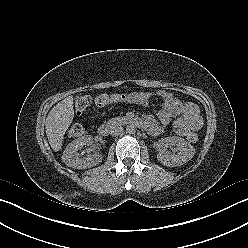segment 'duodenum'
Here are the masks:
<instances>
[{
    "instance_id": "duodenum-1",
    "label": "duodenum",
    "mask_w": 248,
    "mask_h": 248,
    "mask_svg": "<svg viewBox=\"0 0 248 248\" xmlns=\"http://www.w3.org/2000/svg\"><path fill=\"white\" fill-rule=\"evenodd\" d=\"M134 124L136 125H146L145 122H140L138 120H133L132 121ZM98 135L101 136V137H107L110 133V128L106 125H101L99 128H98Z\"/></svg>"
}]
</instances>
